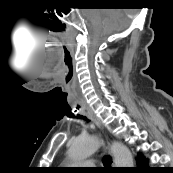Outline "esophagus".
<instances>
[{
    "label": "esophagus",
    "mask_w": 173,
    "mask_h": 173,
    "mask_svg": "<svg viewBox=\"0 0 173 173\" xmlns=\"http://www.w3.org/2000/svg\"><path fill=\"white\" fill-rule=\"evenodd\" d=\"M83 114H85L87 117H89L91 120H93L97 126H99V127L101 126L98 119L92 114V112L88 108L83 109ZM108 146H109V143H108Z\"/></svg>",
    "instance_id": "esophagus-1"
}]
</instances>
